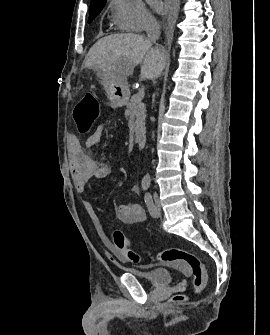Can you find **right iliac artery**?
Wrapping results in <instances>:
<instances>
[{
    "mask_svg": "<svg viewBox=\"0 0 270 335\" xmlns=\"http://www.w3.org/2000/svg\"><path fill=\"white\" fill-rule=\"evenodd\" d=\"M149 186H150V180L147 179V178H144L142 180V188H143V190H147L149 188Z\"/></svg>",
    "mask_w": 270,
    "mask_h": 335,
    "instance_id": "1",
    "label": "right iliac artery"
}]
</instances>
